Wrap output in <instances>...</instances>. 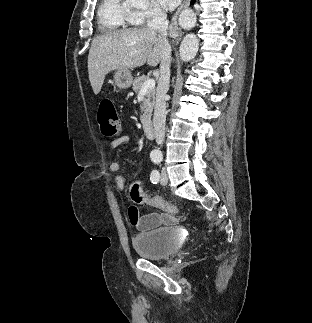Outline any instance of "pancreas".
<instances>
[{
	"label": "pancreas",
	"mask_w": 312,
	"mask_h": 323,
	"mask_svg": "<svg viewBox=\"0 0 312 323\" xmlns=\"http://www.w3.org/2000/svg\"><path fill=\"white\" fill-rule=\"evenodd\" d=\"M147 80H149L148 76H139V78H135L132 88L136 94H139L143 84H145ZM155 94V88H150V90L145 92L143 102L140 106L141 122H150L155 104Z\"/></svg>",
	"instance_id": "cf45deb5"
}]
</instances>
